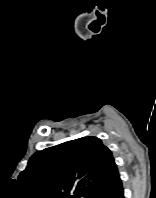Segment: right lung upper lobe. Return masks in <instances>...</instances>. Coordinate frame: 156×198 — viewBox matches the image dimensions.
<instances>
[{"label": "right lung upper lobe", "mask_w": 156, "mask_h": 198, "mask_svg": "<svg viewBox=\"0 0 156 198\" xmlns=\"http://www.w3.org/2000/svg\"><path fill=\"white\" fill-rule=\"evenodd\" d=\"M19 180L40 198H111L123 188L111 151L97 137L36 152Z\"/></svg>", "instance_id": "cb5924a9"}]
</instances>
